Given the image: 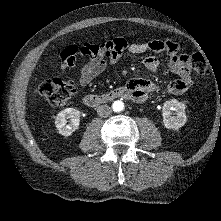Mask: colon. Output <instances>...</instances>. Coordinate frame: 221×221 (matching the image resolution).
I'll return each instance as SVG.
<instances>
[{
	"instance_id": "colon-1",
	"label": "colon",
	"mask_w": 221,
	"mask_h": 221,
	"mask_svg": "<svg viewBox=\"0 0 221 221\" xmlns=\"http://www.w3.org/2000/svg\"><path fill=\"white\" fill-rule=\"evenodd\" d=\"M79 55L77 46H69L61 53V59L65 66H73ZM191 68L199 76L207 74V64L203 55L199 52L186 57ZM39 94L52 106H64L75 93V85L71 80L49 78L42 82L38 88Z\"/></svg>"
}]
</instances>
